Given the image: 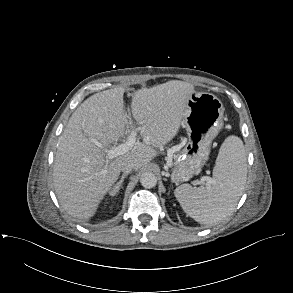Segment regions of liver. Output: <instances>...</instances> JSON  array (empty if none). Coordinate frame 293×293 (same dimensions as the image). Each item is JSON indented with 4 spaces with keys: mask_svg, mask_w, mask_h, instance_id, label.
Returning <instances> with one entry per match:
<instances>
[{
    "mask_svg": "<svg viewBox=\"0 0 293 293\" xmlns=\"http://www.w3.org/2000/svg\"><path fill=\"white\" fill-rule=\"evenodd\" d=\"M190 83L172 80L132 94L131 110L143 142L109 160L104 149L129 132L122 87L96 93L72 114L58 141L53 167L54 189L62 208L73 218L88 220L118 180L129 160L138 170L178 133L187 115Z\"/></svg>",
    "mask_w": 293,
    "mask_h": 293,
    "instance_id": "obj_1",
    "label": "liver"
}]
</instances>
